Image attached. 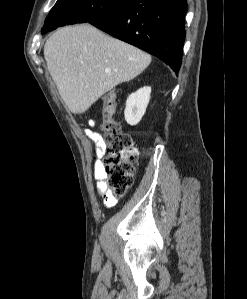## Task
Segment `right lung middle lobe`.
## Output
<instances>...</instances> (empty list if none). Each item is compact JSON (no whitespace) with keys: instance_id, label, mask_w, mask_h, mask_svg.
<instances>
[{"instance_id":"1","label":"right lung middle lobe","mask_w":247,"mask_h":299,"mask_svg":"<svg viewBox=\"0 0 247 299\" xmlns=\"http://www.w3.org/2000/svg\"><path fill=\"white\" fill-rule=\"evenodd\" d=\"M130 0H58L46 18L42 34L66 24L91 22L103 18Z\"/></svg>"}]
</instances>
